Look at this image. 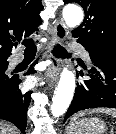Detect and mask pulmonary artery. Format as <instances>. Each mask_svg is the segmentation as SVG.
I'll return each mask as SVG.
<instances>
[{
    "label": "pulmonary artery",
    "instance_id": "e3ab8cb5",
    "mask_svg": "<svg viewBox=\"0 0 116 134\" xmlns=\"http://www.w3.org/2000/svg\"><path fill=\"white\" fill-rule=\"evenodd\" d=\"M70 48L78 52L86 61H90V55L87 49L81 46L78 43H71ZM22 58L18 56H14L10 59L9 68L13 69L21 63Z\"/></svg>",
    "mask_w": 116,
    "mask_h": 134
}]
</instances>
